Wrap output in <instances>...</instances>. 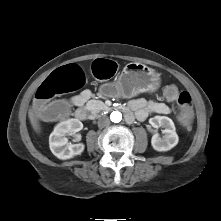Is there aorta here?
<instances>
[{"mask_svg": "<svg viewBox=\"0 0 221 221\" xmlns=\"http://www.w3.org/2000/svg\"><path fill=\"white\" fill-rule=\"evenodd\" d=\"M110 118L112 122L119 123L122 120V114L119 111H113Z\"/></svg>", "mask_w": 221, "mask_h": 221, "instance_id": "762f6f07", "label": "aorta"}]
</instances>
